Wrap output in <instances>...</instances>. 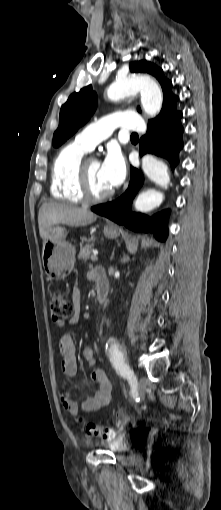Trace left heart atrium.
I'll list each match as a JSON object with an SVG mask.
<instances>
[{"instance_id":"1","label":"left heart atrium","mask_w":221,"mask_h":510,"mask_svg":"<svg viewBox=\"0 0 221 510\" xmlns=\"http://www.w3.org/2000/svg\"><path fill=\"white\" fill-rule=\"evenodd\" d=\"M126 175V165L121 151L111 146L101 162V176L110 187L114 189L118 187L124 180Z\"/></svg>"}]
</instances>
